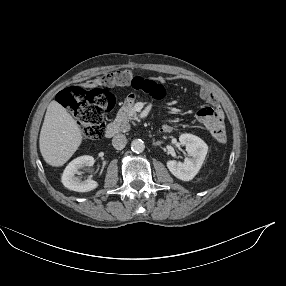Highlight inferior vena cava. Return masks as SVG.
Returning <instances> with one entry per match:
<instances>
[{"label":"inferior vena cava","mask_w":286,"mask_h":286,"mask_svg":"<svg viewBox=\"0 0 286 286\" xmlns=\"http://www.w3.org/2000/svg\"><path fill=\"white\" fill-rule=\"evenodd\" d=\"M127 143V139L123 134H117L112 139V145L117 150H122Z\"/></svg>","instance_id":"602c4592"}]
</instances>
